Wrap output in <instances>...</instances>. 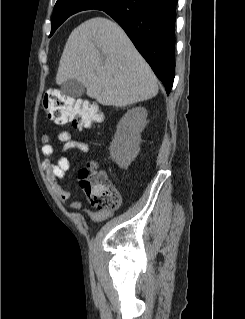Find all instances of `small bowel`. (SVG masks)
<instances>
[{
    "label": "small bowel",
    "instance_id": "obj_1",
    "mask_svg": "<svg viewBox=\"0 0 245 319\" xmlns=\"http://www.w3.org/2000/svg\"><path fill=\"white\" fill-rule=\"evenodd\" d=\"M57 141L62 144V150L65 152L78 150L85 153L90 149L88 143L73 139L71 133L65 130L57 133ZM41 152L44 156L43 168L51 188L62 202L68 203L72 199V192L70 189L63 187L61 182L65 180L66 173L70 169V160L65 156H55L49 135H43L42 137ZM81 207L82 202L80 200L71 203V208L74 210H80ZM84 212L86 216L94 222L104 221L112 215V212L105 210H85Z\"/></svg>",
    "mask_w": 245,
    "mask_h": 319
}]
</instances>
